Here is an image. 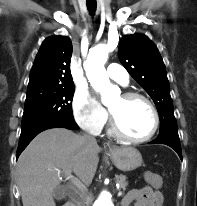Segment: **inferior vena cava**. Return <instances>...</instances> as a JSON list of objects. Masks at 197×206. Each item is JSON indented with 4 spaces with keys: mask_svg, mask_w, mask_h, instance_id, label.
<instances>
[{
    "mask_svg": "<svg viewBox=\"0 0 197 206\" xmlns=\"http://www.w3.org/2000/svg\"><path fill=\"white\" fill-rule=\"evenodd\" d=\"M84 137L91 144H97V141H96L95 137H93L91 135H88V134H85Z\"/></svg>",
    "mask_w": 197,
    "mask_h": 206,
    "instance_id": "602c4592",
    "label": "inferior vena cava"
}]
</instances>
